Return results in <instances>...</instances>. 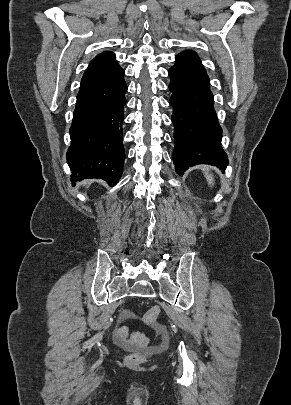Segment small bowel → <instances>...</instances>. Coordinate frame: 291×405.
Listing matches in <instances>:
<instances>
[{
  "label": "small bowel",
  "instance_id": "obj_1",
  "mask_svg": "<svg viewBox=\"0 0 291 405\" xmlns=\"http://www.w3.org/2000/svg\"><path fill=\"white\" fill-rule=\"evenodd\" d=\"M132 318H133V314L129 310H124L121 313V320L122 321L131 320Z\"/></svg>",
  "mask_w": 291,
  "mask_h": 405
}]
</instances>
